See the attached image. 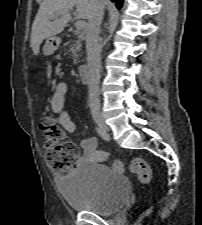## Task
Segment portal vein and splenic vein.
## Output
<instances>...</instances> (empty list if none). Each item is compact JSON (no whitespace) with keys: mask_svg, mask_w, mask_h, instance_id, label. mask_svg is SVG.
<instances>
[{"mask_svg":"<svg viewBox=\"0 0 202 225\" xmlns=\"http://www.w3.org/2000/svg\"><path fill=\"white\" fill-rule=\"evenodd\" d=\"M53 18H55V16H53ZM75 26L77 30H82L86 27V22L84 20L77 21Z\"/></svg>","mask_w":202,"mask_h":225,"instance_id":"obj_1","label":"portal vein and splenic vein"}]
</instances>
